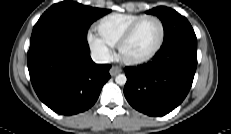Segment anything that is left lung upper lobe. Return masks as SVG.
Here are the masks:
<instances>
[{
	"label": "left lung upper lobe",
	"instance_id": "left-lung-upper-lobe-1",
	"mask_svg": "<svg viewBox=\"0 0 231 134\" xmlns=\"http://www.w3.org/2000/svg\"><path fill=\"white\" fill-rule=\"evenodd\" d=\"M146 13L158 16L163 23L164 41L162 47L178 40L196 38L194 30L188 20L175 10L160 6Z\"/></svg>",
	"mask_w": 231,
	"mask_h": 134
}]
</instances>
